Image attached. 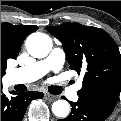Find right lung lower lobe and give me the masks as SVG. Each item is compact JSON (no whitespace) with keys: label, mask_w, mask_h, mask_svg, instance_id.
I'll return each mask as SVG.
<instances>
[{"label":"right lung lower lobe","mask_w":121,"mask_h":121,"mask_svg":"<svg viewBox=\"0 0 121 121\" xmlns=\"http://www.w3.org/2000/svg\"><path fill=\"white\" fill-rule=\"evenodd\" d=\"M11 98L2 93L1 88V121H21L31 100L42 98L41 92H15L11 91Z\"/></svg>","instance_id":"1"}]
</instances>
